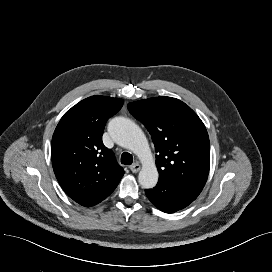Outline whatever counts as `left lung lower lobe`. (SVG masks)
Here are the masks:
<instances>
[{
  "mask_svg": "<svg viewBox=\"0 0 272 272\" xmlns=\"http://www.w3.org/2000/svg\"><path fill=\"white\" fill-rule=\"evenodd\" d=\"M201 191L173 181H158L153 189H146L149 200L161 211L174 213L187 207Z\"/></svg>",
  "mask_w": 272,
  "mask_h": 272,
  "instance_id": "0a47b994",
  "label": "left lung lower lobe"
}]
</instances>
